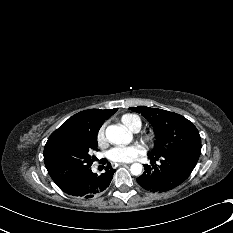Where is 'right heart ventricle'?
Returning a JSON list of instances; mask_svg holds the SVG:
<instances>
[{
    "label": "right heart ventricle",
    "instance_id": "right-heart-ventricle-1",
    "mask_svg": "<svg viewBox=\"0 0 233 233\" xmlns=\"http://www.w3.org/2000/svg\"><path fill=\"white\" fill-rule=\"evenodd\" d=\"M119 121L129 130L131 131H138L142 126V119L139 115L134 113H126L123 114Z\"/></svg>",
    "mask_w": 233,
    "mask_h": 233
}]
</instances>
